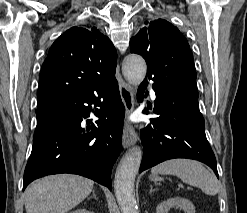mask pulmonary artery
Masks as SVG:
<instances>
[{
    "label": "pulmonary artery",
    "instance_id": "1",
    "mask_svg": "<svg viewBox=\"0 0 247 213\" xmlns=\"http://www.w3.org/2000/svg\"><path fill=\"white\" fill-rule=\"evenodd\" d=\"M150 95H151L152 99H155L156 95H155V92L152 89L150 90Z\"/></svg>",
    "mask_w": 247,
    "mask_h": 213
}]
</instances>
